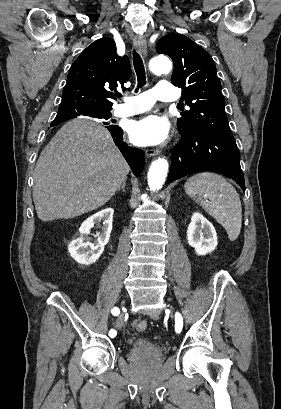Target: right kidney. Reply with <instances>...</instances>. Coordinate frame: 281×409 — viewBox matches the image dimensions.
<instances>
[{"instance_id": "1", "label": "right kidney", "mask_w": 281, "mask_h": 409, "mask_svg": "<svg viewBox=\"0 0 281 409\" xmlns=\"http://www.w3.org/2000/svg\"><path fill=\"white\" fill-rule=\"evenodd\" d=\"M113 213V209L107 207V209L98 211V213H95L92 217H88V219L82 223L79 229L80 235L78 239L71 241L68 247V251H70V255L74 261H77L80 265H92V263H95V261L99 259L104 251L105 245H107L110 239ZM100 221H103L102 233L96 241L91 243L92 239L88 237V235H90V231L94 225L100 223Z\"/></svg>"}]
</instances>
